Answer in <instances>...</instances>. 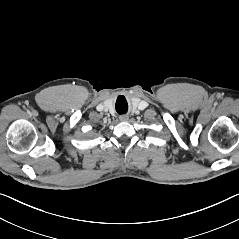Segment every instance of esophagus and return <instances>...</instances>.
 Here are the masks:
<instances>
[{
  "label": "esophagus",
  "mask_w": 239,
  "mask_h": 239,
  "mask_svg": "<svg viewBox=\"0 0 239 239\" xmlns=\"http://www.w3.org/2000/svg\"><path fill=\"white\" fill-rule=\"evenodd\" d=\"M120 120L121 121H127L128 120V116L122 115V116H120Z\"/></svg>",
  "instance_id": "esophagus-1"
}]
</instances>
